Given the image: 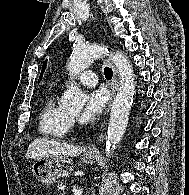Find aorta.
Returning a JSON list of instances; mask_svg holds the SVG:
<instances>
[{"instance_id": "obj_1", "label": "aorta", "mask_w": 189, "mask_h": 195, "mask_svg": "<svg viewBox=\"0 0 189 195\" xmlns=\"http://www.w3.org/2000/svg\"><path fill=\"white\" fill-rule=\"evenodd\" d=\"M106 51L107 49L100 45H75L68 62V71L71 78L89 67ZM112 63L118 71L120 86L112 105L108 124L106 138L108 156L114 153L125 133L135 93V77L132 65L127 57L120 52H116L112 54ZM86 100L87 96L76 85H71L64 94L63 105L69 109L80 110Z\"/></svg>"}]
</instances>
